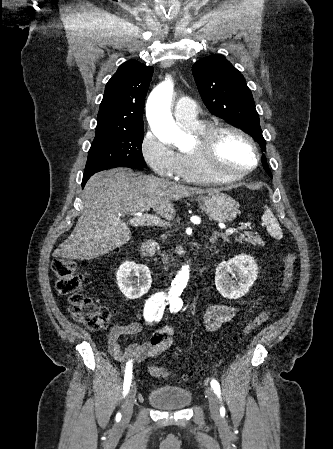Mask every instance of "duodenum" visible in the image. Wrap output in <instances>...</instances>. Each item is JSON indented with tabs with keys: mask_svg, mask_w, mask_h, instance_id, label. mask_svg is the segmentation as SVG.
<instances>
[{
	"mask_svg": "<svg viewBox=\"0 0 333 449\" xmlns=\"http://www.w3.org/2000/svg\"><path fill=\"white\" fill-rule=\"evenodd\" d=\"M156 248V242L154 240H147L140 246V252L142 257H150L154 253Z\"/></svg>",
	"mask_w": 333,
	"mask_h": 449,
	"instance_id": "obj_1",
	"label": "duodenum"
}]
</instances>
